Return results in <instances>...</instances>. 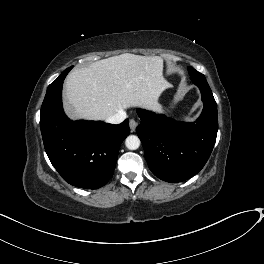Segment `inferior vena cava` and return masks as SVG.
I'll return each mask as SVG.
<instances>
[{"mask_svg": "<svg viewBox=\"0 0 264 264\" xmlns=\"http://www.w3.org/2000/svg\"><path fill=\"white\" fill-rule=\"evenodd\" d=\"M126 117H127L126 112L123 110H120L117 113H115L114 115L109 116L106 119V122L111 123V124H119V123L123 122L126 119Z\"/></svg>", "mask_w": 264, "mask_h": 264, "instance_id": "602c4592", "label": "inferior vena cava"}]
</instances>
